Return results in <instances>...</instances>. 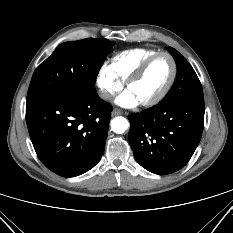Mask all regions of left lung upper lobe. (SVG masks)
Listing matches in <instances>:
<instances>
[{
	"instance_id": "obj_1",
	"label": "left lung upper lobe",
	"mask_w": 233,
	"mask_h": 233,
	"mask_svg": "<svg viewBox=\"0 0 233 233\" xmlns=\"http://www.w3.org/2000/svg\"><path fill=\"white\" fill-rule=\"evenodd\" d=\"M167 50L177 64V77L172 88L160 103L184 99L204 100L201 83L192 66L174 48L168 47Z\"/></svg>"
}]
</instances>
